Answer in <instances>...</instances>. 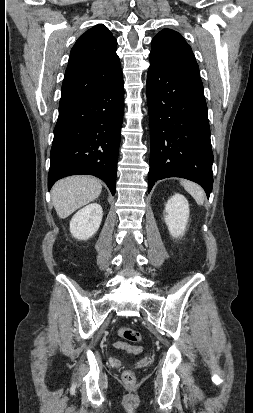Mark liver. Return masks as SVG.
I'll return each instance as SVG.
<instances>
[{"label":"liver","instance_id":"6515ba94","mask_svg":"<svg viewBox=\"0 0 253 413\" xmlns=\"http://www.w3.org/2000/svg\"><path fill=\"white\" fill-rule=\"evenodd\" d=\"M102 190L101 182L90 176H70L59 180L51 190L57 215L64 219L94 201Z\"/></svg>","mask_w":253,"mask_h":413}]
</instances>
